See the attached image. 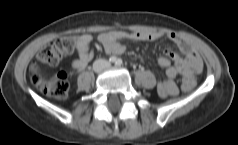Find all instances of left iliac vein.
Masks as SVG:
<instances>
[{
  "instance_id": "obj_1",
  "label": "left iliac vein",
  "mask_w": 238,
  "mask_h": 145,
  "mask_svg": "<svg viewBox=\"0 0 238 145\" xmlns=\"http://www.w3.org/2000/svg\"><path fill=\"white\" fill-rule=\"evenodd\" d=\"M110 66V64H106V67H109Z\"/></svg>"
}]
</instances>
